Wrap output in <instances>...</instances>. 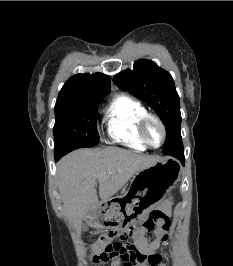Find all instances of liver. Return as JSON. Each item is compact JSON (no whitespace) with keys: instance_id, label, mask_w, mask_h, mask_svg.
<instances>
[{"instance_id":"6515ba94","label":"liver","mask_w":233,"mask_h":266,"mask_svg":"<svg viewBox=\"0 0 233 266\" xmlns=\"http://www.w3.org/2000/svg\"><path fill=\"white\" fill-rule=\"evenodd\" d=\"M159 161V157L118 147L79 149L63 157L57 164V183L69 222L77 230L83 220L97 227L90 215L97 202V181L99 197L107 201L134 174Z\"/></svg>"}]
</instances>
